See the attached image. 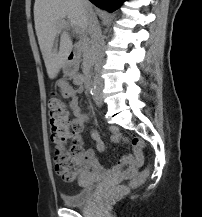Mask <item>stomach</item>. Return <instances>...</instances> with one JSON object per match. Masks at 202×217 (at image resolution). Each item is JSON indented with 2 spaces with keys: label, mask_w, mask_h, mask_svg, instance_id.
<instances>
[{
  "label": "stomach",
  "mask_w": 202,
  "mask_h": 217,
  "mask_svg": "<svg viewBox=\"0 0 202 217\" xmlns=\"http://www.w3.org/2000/svg\"><path fill=\"white\" fill-rule=\"evenodd\" d=\"M65 69H66V73L70 75H73L76 71L75 65L71 63H66Z\"/></svg>",
  "instance_id": "0dacf381"
}]
</instances>
